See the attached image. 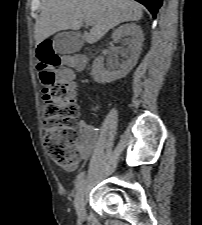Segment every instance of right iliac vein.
I'll list each match as a JSON object with an SVG mask.
<instances>
[{
  "label": "right iliac vein",
  "instance_id": "right-iliac-vein-1",
  "mask_svg": "<svg viewBox=\"0 0 202 225\" xmlns=\"http://www.w3.org/2000/svg\"><path fill=\"white\" fill-rule=\"evenodd\" d=\"M86 188H87V181L86 180L81 181L75 195V209H76L77 215L80 218H85V215H86L85 214Z\"/></svg>",
  "mask_w": 202,
  "mask_h": 225
}]
</instances>
